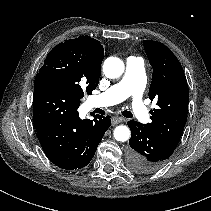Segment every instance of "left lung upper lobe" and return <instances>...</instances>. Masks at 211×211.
I'll return each mask as SVG.
<instances>
[{"instance_id":"left-lung-upper-lobe-1","label":"left lung upper lobe","mask_w":211,"mask_h":211,"mask_svg":"<svg viewBox=\"0 0 211 211\" xmlns=\"http://www.w3.org/2000/svg\"><path fill=\"white\" fill-rule=\"evenodd\" d=\"M143 45L153 68L148 96L158 106L150 111L151 122L145 126L176 148L187 120V80L179 60L164 44L144 40Z\"/></svg>"}]
</instances>
